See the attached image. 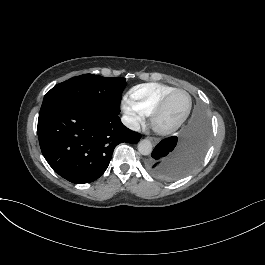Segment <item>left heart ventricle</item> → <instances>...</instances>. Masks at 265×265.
I'll return each mask as SVG.
<instances>
[{
  "instance_id": "b2bd125f",
  "label": "left heart ventricle",
  "mask_w": 265,
  "mask_h": 265,
  "mask_svg": "<svg viewBox=\"0 0 265 265\" xmlns=\"http://www.w3.org/2000/svg\"><path fill=\"white\" fill-rule=\"evenodd\" d=\"M188 99L184 93H177L168 101L162 116L164 123H172L178 120L185 112Z\"/></svg>"
}]
</instances>
